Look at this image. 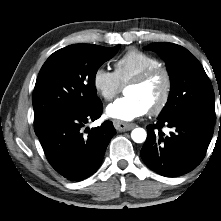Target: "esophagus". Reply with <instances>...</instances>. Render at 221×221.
Returning a JSON list of instances; mask_svg holds the SVG:
<instances>
[{
  "label": "esophagus",
  "mask_w": 221,
  "mask_h": 221,
  "mask_svg": "<svg viewBox=\"0 0 221 221\" xmlns=\"http://www.w3.org/2000/svg\"><path fill=\"white\" fill-rule=\"evenodd\" d=\"M113 124H114V127L116 128V130H118L120 132L129 131L135 127V124L125 123V122H122L119 120H114Z\"/></svg>",
  "instance_id": "34e87169"
}]
</instances>
